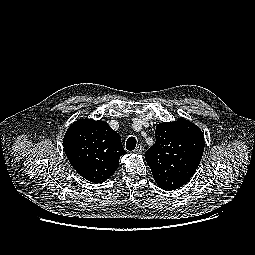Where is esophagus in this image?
<instances>
[{
	"mask_svg": "<svg viewBox=\"0 0 255 255\" xmlns=\"http://www.w3.org/2000/svg\"><path fill=\"white\" fill-rule=\"evenodd\" d=\"M142 151H143V147H142V145L139 144V145L136 146V148L134 150V153L141 154Z\"/></svg>",
	"mask_w": 255,
	"mask_h": 255,
	"instance_id": "obj_1",
	"label": "esophagus"
}]
</instances>
